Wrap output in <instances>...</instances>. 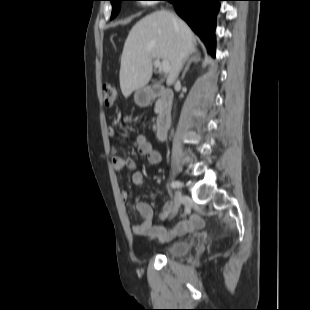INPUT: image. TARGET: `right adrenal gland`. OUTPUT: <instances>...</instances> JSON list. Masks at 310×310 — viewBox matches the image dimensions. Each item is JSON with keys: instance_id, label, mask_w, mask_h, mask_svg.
Instances as JSON below:
<instances>
[{"instance_id": "1", "label": "right adrenal gland", "mask_w": 310, "mask_h": 310, "mask_svg": "<svg viewBox=\"0 0 310 310\" xmlns=\"http://www.w3.org/2000/svg\"><path fill=\"white\" fill-rule=\"evenodd\" d=\"M199 61H201L200 53H199L198 51L195 50V51H193V52L190 54V57H189L188 60H187V64H186L185 69H184V71H183V73H182V77H181L182 80L184 79L185 74H186V72L188 71V69H189L191 63H192V62L198 63Z\"/></svg>"}]
</instances>
